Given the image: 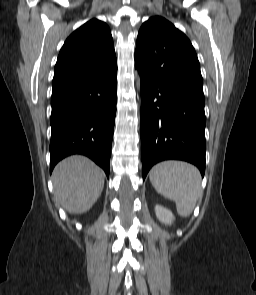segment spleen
I'll use <instances>...</instances> for the list:
<instances>
[{
  "instance_id": "3e777b00",
  "label": "spleen",
  "mask_w": 256,
  "mask_h": 295,
  "mask_svg": "<svg viewBox=\"0 0 256 295\" xmlns=\"http://www.w3.org/2000/svg\"><path fill=\"white\" fill-rule=\"evenodd\" d=\"M150 181L159 194L175 201L180 216L192 213L201 193V176L195 166L180 161L161 162L152 168Z\"/></svg>"
}]
</instances>
